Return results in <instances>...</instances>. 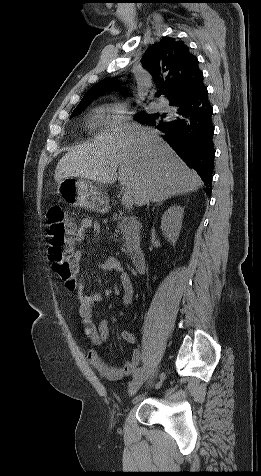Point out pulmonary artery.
Wrapping results in <instances>:
<instances>
[{
	"instance_id": "e3ab8cb5",
	"label": "pulmonary artery",
	"mask_w": 261,
	"mask_h": 476,
	"mask_svg": "<svg viewBox=\"0 0 261 476\" xmlns=\"http://www.w3.org/2000/svg\"><path fill=\"white\" fill-rule=\"evenodd\" d=\"M157 107H158V109H160V110H162V111L167 110V106H166L165 104H163V103H158V104H157Z\"/></svg>"
}]
</instances>
